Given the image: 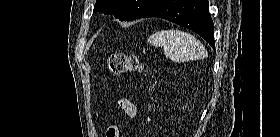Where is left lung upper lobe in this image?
I'll return each mask as SVG.
<instances>
[{
	"label": "left lung upper lobe",
	"instance_id": "left-lung-upper-lobe-1",
	"mask_svg": "<svg viewBox=\"0 0 280 137\" xmlns=\"http://www.w3.org/2000/svg\"><path fill=\"white\" fill-rule=\"evenodd\" d=\"M160 0H97L94 12L114 14L120 21L135 20L154 7Z\"/></svg>",
	"mask_w": 280,
	"mask_h": 137
}]
</instances>
